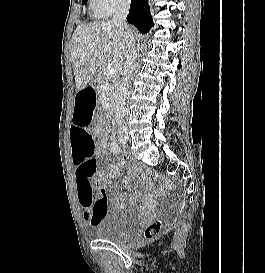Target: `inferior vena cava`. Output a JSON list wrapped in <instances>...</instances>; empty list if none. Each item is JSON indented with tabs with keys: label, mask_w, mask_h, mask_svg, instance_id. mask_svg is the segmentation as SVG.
I'll return each instance as SVG.
<instances>
[{
	"label": "inferior vena cava",
	"mask_w": 265,
	"mask_h": 273,
	"mask_svg": "<svg viewBox=\"0 0 265 273\" xmlns=\"http://www.w3.org/2000/svg\"><path fill=\"white\" fill-rule=\"evenodd\" d=\"M130 0H121L117 6V10L112 18V23L118 26L125 35L128 36L127 51H126V63L123 70V79L128 84L129 78L132 75L135 68V60L137 58V49L135 45V39L130 35V30L127 25L126 17L129 13ZM120 131L126 130L125 122L120 123Z\"/></svg>",
	"instance_id": "inferior-vena-cava-1"
}]
</instances>
